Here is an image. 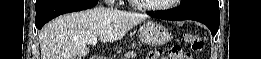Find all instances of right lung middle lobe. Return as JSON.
<instances>
[{"label":"right lung middle lobe","mask_w":261,"mask_h":59,"mask_svg":"<svg viewBox=\"0 0 261 59\" xmlns=\"http://www.w3.org/2000/svg\"><path fill=\"white\" fill-rule=\"evenodd\" d=\"M44 1L45 0H36V8L39 7L41 5V3Z\"/></svg>","instance_id":"dd1d6c3e"}]
</instances>
